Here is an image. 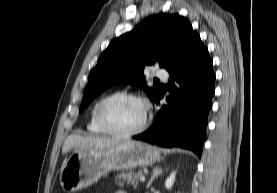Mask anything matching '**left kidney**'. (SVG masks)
Masks as SVG:
<instances>
[{"mask_svg":"<svg viewBox=\"0 0 277 193\" xmlns=\"http://www.w3.org/2000/svg\"><path fill=\"white\" fill-rule=\"evenodd\" d=\"M175 175H176V172L173 171L170 176L166 179V182H165V187L167 189H171L173 184H174V180H175Z\"/></svg>","mask_w":277,"mask_h":193,"instance_id":"5707ae66","label":"left kidney"}]
</instances>
